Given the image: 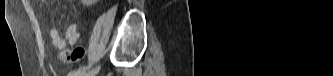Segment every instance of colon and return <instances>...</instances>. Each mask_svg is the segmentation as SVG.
Wrapping results in <instances>:
<instances>
[{
  "label": "colon",
  "mask_w": 333,
  "mask_h": 76,
  "mask_svg": "<svg viewBox=\"0 0 333 76\" xmlns=\"http://www.w3.org/2000/svg\"><path fill=\"white\" fill-rule=\"evenodd\" d=\"M85 53L84 48L78 47L73 50H63L60 53V58L63 62L71 63L80 60Z\"/></svg>",
  "instance_id": "5ec220e1"
}]
</instances>
